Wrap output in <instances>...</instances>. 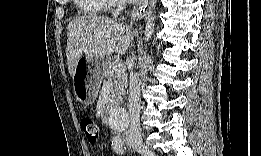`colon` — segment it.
Returning <instances> with one entry per match:
<instances>
[{"instance_id":"colon-1","label":"colon","mask_w":261,"mask_h":156,"mask_svg":"<svg viewBox=\"0 0 261 156\" xmlns=\"http://www.w3.org/2000/svg\"><path fill=\"white\" fill-rule=\"evenodd\" d=\"M81 128L90 144H95L100 136V129L90 117H83L80 121Z\"/></svg>"}]
</instances>
